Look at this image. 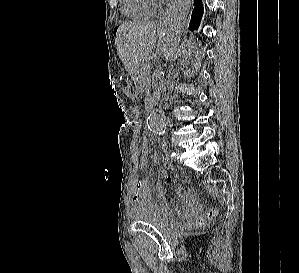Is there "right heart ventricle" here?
I'll return each mask as SVG.
<instances>
[{
    "label": "right heart ventricle",
    "instance_id": "right-heart-ventricle-1",
    "mask_svg": "<svg viewBox=\"0 0 299 273\" xmlns=\"http://www.w3.org/2000/svg\"><path fill=\"white\" fill-rule=\"evenodd\" d=\"M123 15L132 20L148 19L154 14L150 0H122Z\"/></svg>",
    "mask_w": 299,
    "mask_h": 273
}]
</instances>
